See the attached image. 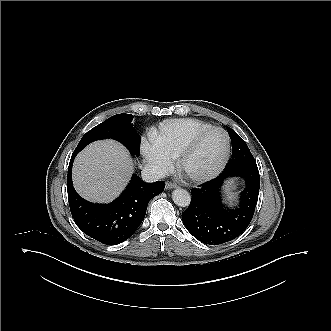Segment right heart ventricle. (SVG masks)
I'll return each mask as SVG.
<instances>
[{"label": "right heart ventricle", "mask_w": 331, "mask_h": 331, "mask_svg": "<svg viewBox=\"0 0 331 331\" xmlns=\"http://www.w3.org/2000/svg\"><path fill=\"white\" fill-rule=\"evenodd\" d=\"M209 127L211 124L194 118L166 120L160 124L153 144L176 157L195 134Z\"/></svg>", "instance_id": "1"}]
</instances>
